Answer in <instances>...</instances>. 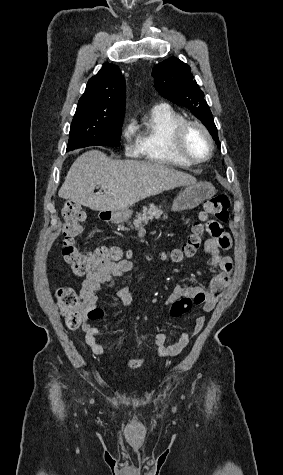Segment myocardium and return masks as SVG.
<instances>
[{
	"instance_id": "1",
	"label": "myocardium",
	"mask_w": 283,
	"mask_h": 475,
	"mask_svg": "<svg viewBox=\"0 0 283 475\" xmlns=\"http://www.w3.org/2000/svg\"><path fill=\"white\" fill-rule=\"evenodd\" d=\"M192 126L198 128L207 139L208 144H209L208 154L202 158H193L189 156H181V157L174 158L166 153L165 147H164L165 145L162 144L160 147V150H161V155L163 159L165 160V162H206L212 158L215 151L214 140H213L212 135L208 131V129L200 121L185 119L181 121L180 123H178L170 131V134H169L170 142L178 146L182 145L187 129Z\"/></svg>"
}]
</instances>
